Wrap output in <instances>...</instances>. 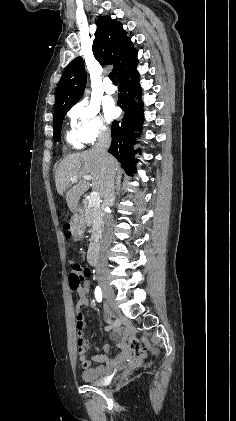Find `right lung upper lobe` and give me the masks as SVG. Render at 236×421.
Instances as JSON below:
<instances>
[{"instance_id":"cb5924a9","label":"right lung upper lobe","mask_w":236,"mask_h":421,"mask_svg":"<svg viewBox=\"0 0 236 421\" xmlns=\"http://www.w3.org/2000/svg\"><path fill=\"white\" fill-rule=\"evenodd\" d=\"M94 57L101 65H113L115 74L137 57L136 49L120 22L109 16L98 19L93 41ZM86 84V72L81 57L66 67L58 85L54 110L73 105L81 98Z\"/></svg>"}]
</instances>
